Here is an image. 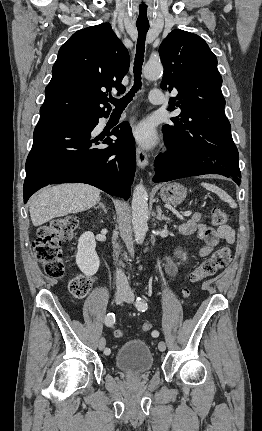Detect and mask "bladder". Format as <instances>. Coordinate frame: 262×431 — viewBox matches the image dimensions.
Returning a JSON list of instances; mask_svg holds the SVG:
<instances>
[{
    "label": "bladder",
    "instance_id": "obj_1",
    "mask_svg": "<svg viewBox=\"0 0 262 431\" xmlns=\"http://www.w3.org/2000/svg\"><path fill=\"white\" fill-rule=\"evenodd\" d=\"M115 364L125 373L144 374L152 369L154 358L144 339H132L118 349Z\"/></svg>",
    "mask_w": 262,
    "mask_h": 431
}]
</instances>
